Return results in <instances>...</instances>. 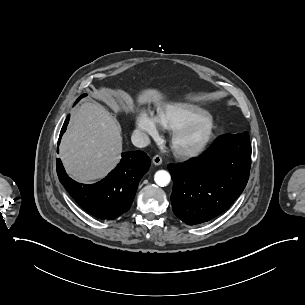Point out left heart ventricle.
Instances as JSON below:
<instances>
[{
    "label": "left heart ventricle",
    "mask_w": 305,
    "mask_h": 305,
    "mask_svg": "<svg viewBox=\"0 0 305 305\" xmlns=\"http://www.w3.org/2000/svg\"><path fill=\"white\" fill-rule=\"evenodd\" d=\"M205 134V128L202 126L199 127H195L194 129H192L190 131L189 137L192 140H198L200 138H202Z\"/></svg>",
    "instance_id": "obj_1"
}]
</instances>
